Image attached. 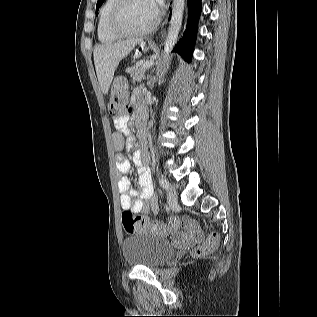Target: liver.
Returning a JSON list of instances; mask_svg holds the SVG:
<instances>
[{"label": "liver", "instance_id": "6515ba94", "mask_svg": "<svg viewBox=\"0 0 317 317\" xmlns=\"http://www.w3.org/2000/svg\"><path fill=\"white\" fill-rule=\"evenodd\" d=\"M140 39L97 45L94 48V64L103 94H107L119 62L140 43Z\"/></svg>", "mask_w": 317, "mask_h": 317}]
</instances>
